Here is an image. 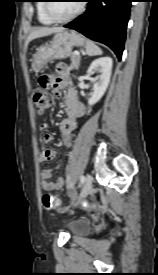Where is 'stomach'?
Returning a JSON list of instances; mask_svg holds the SVG:
<instances>
[{
	"label": "stomach",
	"mask_w": 158,
	"mask_h": 275,
	"mask_svg": "<svg viewBox=\"0 0 158 275\" xmlns=\"http://www.w3.org/2000/svg\"><path fill=\"white\" fill-rule=\"evenodd\" d=\"M85 44V37L74 30L59 32L51 41L37 49L33 58V67L39 71L49 61L65 59L71 55L73 47H81Z\"/></svg>",
	"instance_id": "stomach-1"
}]
</instances>
